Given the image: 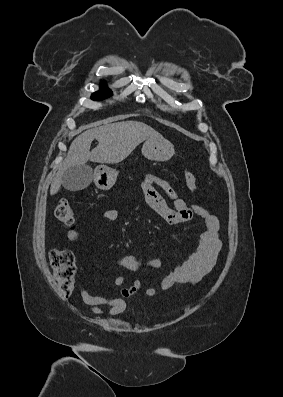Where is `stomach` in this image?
I'll use <instances>...</instances> for the list:
<instances>
[{
  "label": "stomach",
  "instance_id": "stomach-1",
  "mask_svg": "<svg viewBox=\"0 0 283 397\" xmlns=\"http://www.w3.org/2000/svg\"><path fill=\"white\" fill-rule=\"evenodd\" d=\"M142 154L152 161H167L174 154L173 144L162 139L146 140L142 147ZM118 171L106 165H99L94 170L95 185L101 190H109L116 182Z\"/></svg>",
  "mask_w": 283,
  "mask_h": 397
}]
</instances>
